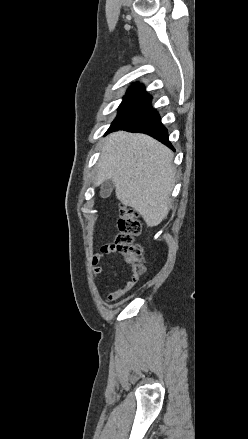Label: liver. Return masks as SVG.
I'll return each instance as SVG.
<instances>
[{
	"instance_id": "obj_1",
	"label": "liver",
	"mask_w": 248,
	"mask_h": 439,
	"mask_svg": "<svg viewBox=\"0 0 248 439\" xmlns=\"http://www.w3.org/2000/svg\"><path fill=\"white\" fill-rule=\"evenodd\" d=\"M174 154L144 134H110L97 163L95 185L111 179L117 199L132 207L148 227L160 224L169 213L175 184Z\"/></svg>"
}]
</instances>
